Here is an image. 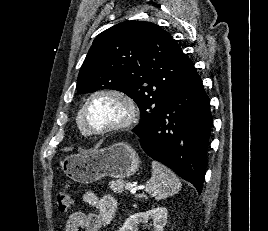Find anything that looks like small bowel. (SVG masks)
Returning <instances> with one entry per match:
<instances>
[{
	"label": "small bowel",
	"instance_id": "c3829d8e",
	"mask_svg": "<svg viewBox=\"0 0 268 231\" xmlns=\"http://www.w3.org/2000/svg\"><path fill=\"white\" fill-rule=\"evenodd\" d=\"M82 201L95 211L72 213L66 222L65 231H100L115 216L117 202L111 195L98 197L93 191H85Z\"/></svg>",
	"mask_w": 268,
	"mask_h": 231
}]
</instances>
